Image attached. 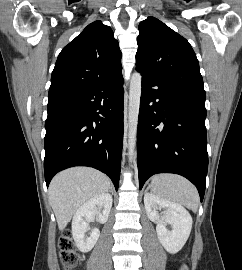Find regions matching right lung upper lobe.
<instances>
[{
    "mask_svg": "<svg viewBox=\"0 0 242 270\" xmlns=\"http://www.w3.org/2000/svg\"><path fill=\"white\" fill-rule=\"evenodd\" d=\"M112 29L95 21L60 52L51 75L48 101L75 94L122 70Z\"/></svg>",
    "mask_w": 242,
    "mask_h": 270,
    "instance_id": "obj_1",
    "label": "right lung upper lobe"
}]
</instances>
